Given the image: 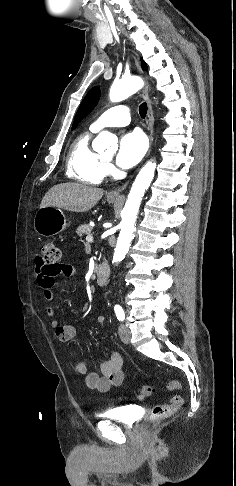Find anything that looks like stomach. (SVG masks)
Returning a JSON list of instances; mask_svg holds the SVG:
<instances>
[{
  "mask_svg": "<svg viewBox=\"0 0 236 486\" xmlns=\"http://www.w3.org/2000/svg\"><path fill=\"white\" fill-rule=\"evenodd\" d=\"M109 203L116 201L114 198L107 199ZM66 227V217L63 211L58 207H42L34 217V229L41 236H53Z\"/></svg>",
  "mask_w": 236,
  "mask_h": 486,
  "instance_id": "stomach-1",
  "label": "stomach"
}]
</instances>
